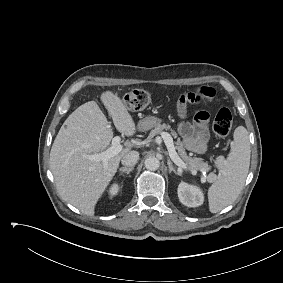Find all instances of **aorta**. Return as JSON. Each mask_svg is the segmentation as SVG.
<instances>
[{"label": "aorta", "mask_w": 283, "mask_h": 283, "mask_svg": "<svg viewBox=\"0 0 283 283\" xmlns=\"http://www.w3.org/2000/svg\"><path fill=\"white\" fill-rule=\"evenodd\" d=\"M145 167L146 169L150 170V171H155L159 168L160 166V162L156 157H148L145 160Z\"/></svg>", "instance_id": "762f6f07"}]
</instances>
